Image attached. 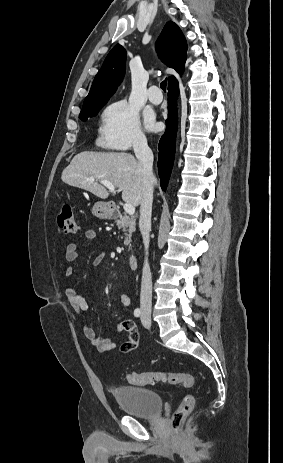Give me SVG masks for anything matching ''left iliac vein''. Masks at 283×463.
<instances>
[{
    "label": "left iliac vein",
    "instance_id": "1",
    "mask_svg": "<svg viewBox=\"0 0 283 463\" xmlns=\"http://www.w3.org/2000/svg\"><path fill=\"white\" fill-rule=\"evenodd\" d=\"M141 322L144 327L149 328L151 326L150 314L143 312L141 315Z\"/></svg>",
    "mask_w": 283,
    "mask_h": 463
}]
</instances>
